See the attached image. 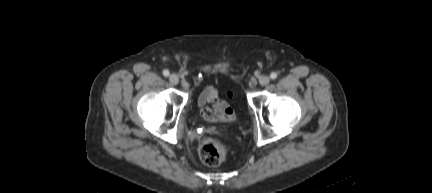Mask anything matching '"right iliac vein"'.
I'll list each match as a JSON object with an SVG mask.
<instances>
[{
    "label": "right iliac vein",
    "instance_id": "right-iliac-vein-1",
    "mask_svg": "<svg viewBox=\"0 0 432 193\" xmlns=\"http://www.w3.org/2000/svg\"><path fill=\"white\" fill-rule=\"evenodd\" d=\"M169 81L172 85H177L179 83V78L176 74H171L169 76Z\"/></svg>",
    "mask_w": 432,
    "mask_h": 193
}]
</instances>
